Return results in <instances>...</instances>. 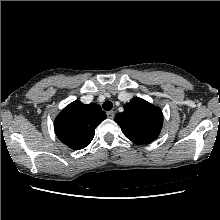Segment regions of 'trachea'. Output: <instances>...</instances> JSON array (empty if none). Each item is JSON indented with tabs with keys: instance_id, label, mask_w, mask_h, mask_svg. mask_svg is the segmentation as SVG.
I'll return each mask as SVG.
<instances>
[{
	"instance_id": "1",
	"label": "trachea",
	"mask_w": 220,
	"mask_h": 220,
	"mask_svg": "<svg viewBox=\"0 0 220 220\" xmlns=\"http://www.w3.org/2000/svg\"><path fill=\"white\" fill-rule=\"evenodd\" d=\"M103 109L105 110V111H109V110H111L112 109V107H113V103L111 102V101H105L104 103H103Z\"/></svg>"
}]
</instances>
